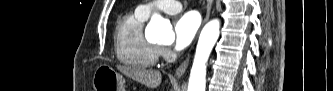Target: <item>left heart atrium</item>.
<instances>
[{
    "label": "left heart atrium",
    "instance_id": "left-heart-atrium-1",
    "mask_svg": "<svg viewBox=\"0 0 333 91\" xmlns=\"http://www.w3.org/2000/svg\"><path fill=\"white\" fill-rule=\"evenodd\" d=\"M199 17L194 12H188L180 16L174 22V47L183 50L193 41L198 28Z\"/></svg>",
    "mask_w": 333,
    "mask_h": 91
}]
</instances>
